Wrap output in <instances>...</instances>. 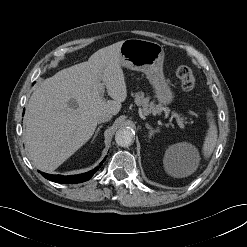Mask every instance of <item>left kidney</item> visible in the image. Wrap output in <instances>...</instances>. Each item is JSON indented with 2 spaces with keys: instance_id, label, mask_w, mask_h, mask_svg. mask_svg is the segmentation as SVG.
<instances>
[{
  "instance_id": "left-kidney-1",
  "label": "left kidney",
  "mask_w": 247,
  "mask_h": 247,
  "mask_svg": "<svg viewBox=\"0 0 247 247\" xmlns=\"http://www.w3.org/2000/svg\"><path fill=\"white\" fill-rule=\"evenodd\" d=\"M193 152H194V147L189 143L183 142V143L174 144L166 150L164 163L165 165L167 163H171V165L175 164L176 160H179L182 157L184 158L189 157L190 154H192Z\"/></svg>"
}]
</instances>
